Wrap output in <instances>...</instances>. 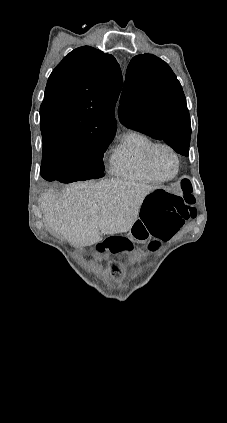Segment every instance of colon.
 Instances as JSON below:
<instances>
[{
  "label": "colon",
  "instance_id": "1",
  "mask_svg": "<svg viewBox=\"0 0 227 423\" xmlns=\"http://www.w3.org/2000/svg\"><path fill=\"white\" fill-rule=\"evenodd\" d=\"M194 196L188 181L182 183V193H174L165 188L150 191L144 198L140 220L156 238L167 240L184 225L185 221L195 216ZM138 228H133L132 235L139 236ZM131 243L123 237H110L100 249L107 248L112 253L130 248Z\"/></svg>",
  "mask_w": 227,
  "mask_h": 423
}]
</instances>
